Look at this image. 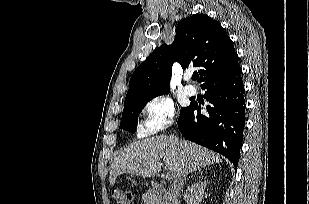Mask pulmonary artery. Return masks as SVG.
Masks as SVG:
<instances>
[{"mask_svg": "<svg viewBox=\"0 0 309 204\" xmlns=\"http://www.w3.org/2000/svg\"><path fill=\"white\" fill-rule=\"evenodd\" d=\"M184 93L188 96H193L196 94V88L193 85H186L184 87Z\"/></svg>", "mask_w": 309, "mask_h": 204, "instance_id": "pulmonary-artery-1", "label": "pulmonary artery"}]
</instances>
